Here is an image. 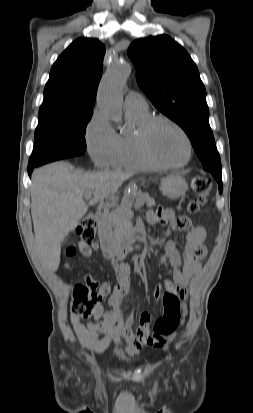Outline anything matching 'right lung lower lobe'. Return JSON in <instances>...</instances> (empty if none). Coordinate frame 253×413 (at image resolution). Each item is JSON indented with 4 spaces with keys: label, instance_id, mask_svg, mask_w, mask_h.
Returning a JSON list of instances; mask_svg holds the SVG:
<instances>
[{
    "label": "right lung lower lobe",
    "instance_id": "obj_1",
    "mask_svg": "<svg viewBox=\"0 0 253 413\" xmlns=\"http://www.w3.org/2000/svg\"><path fill=\"white\" fill-rule=\"evenodd\" d=\"M34 168H35L34 166L28 167V174H29L30 177H31V173H32Z\"/></svg>",
    "mask_w": 253,
    "mask_h": 413
}]
</instances>
